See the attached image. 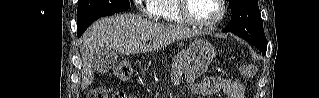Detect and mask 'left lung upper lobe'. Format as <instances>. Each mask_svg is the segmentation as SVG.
<instances>
[{"label":"left lung upper lobe","mask_w":319,"mask_h":98,"mask_svg":"<svg viewBox=\"0 0 319 98\" xmlns=\"http://www.w3.org/2000/svg\"><path fill=\"white\" fill-rule=\"evenodd\" d=\"M231 22L223 29L247 40L256 47H267L257 0H228Z\"/></svg>","instance_id":"5c2ea615"}]
</instances>
